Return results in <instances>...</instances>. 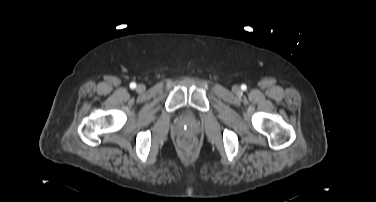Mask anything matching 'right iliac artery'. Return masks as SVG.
Listing matches in <instances>:
<instances>
[{"mask_svg":"<svg viewBox=\"0 0 376 202\" xmlns=\"http://www.w3.org/2000/svg\"><path fill=\"white\" fill-rule=\"evenodd\" d=\"M130 88H131V89H135V88H136V83H135V82H132V83L130 84Z\"/></svg>","mask_w":376,"mask_h":202,"instance_id":"obj_1","label":"right iliac artery"}]
</instances>
